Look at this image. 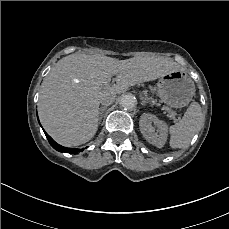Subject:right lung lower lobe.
Returning <instances> with one entry per match:
<instances>
[{
	"mask_svg": "<svg viewBox=\"0 0 229 229\" xmlns=\"http://www.w3.org/2000/svg\"><path fill=\"white\" fill-rule=\"evenodd\" d=\"M44 131V130H43ZM50 145L57 151L59 152H65V153H70V154H78L79 152L83 151L84 149H76V148H66L58 143H56L45 131H44Z\"/></svg>",
	"mask_w": 229,
	"mask_h": 229,
	"instance_id": "obj_1",
	"label": "right lung lower lobe"
}]
</instances>
